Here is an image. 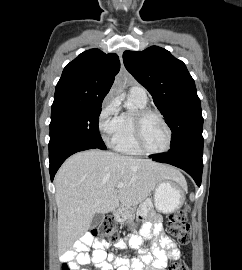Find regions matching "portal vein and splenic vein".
<instances>
[{
    "mask_svg": "<svg viewBox=\"0 0 242 270\" xmlns=\"http://www.w3.org/2000/svg\"><path fill=\"white\" fill-rule=\"evenodd\" d=\"M123 186H124V183L119 182L116 187L117 189H121Z\"/></svg>",
    "mask_w": 242,
    "mask_h": 270,
    "instance_id": "1",
    "label": "portal vein and splenic vein"
}]
</instances>
